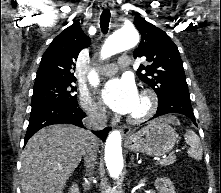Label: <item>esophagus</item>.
Returning <instances> with one entry per match:
<instances>
[{"label":"esophagus","mask_w":221,"mask_h":193,"mask_svg":"<svg viewBox=\"0 0 221 193\" xmlns=\"http://www.w3.org/2000/svg\"><path fill=\"white\" fill-rule=\"evenodd\" d=\"M112 6H113L112 2L107 1V0L105 1L104 7H105L106 9H109V8H111ZM121 131H122V133H129V132H130V128L127 127V126H124V127L121 128Z\"/></svg>","instance_id":"34e87169"}]
</instances>
